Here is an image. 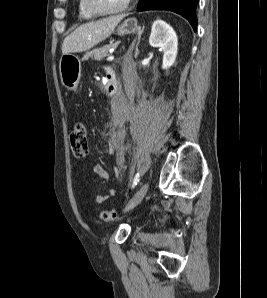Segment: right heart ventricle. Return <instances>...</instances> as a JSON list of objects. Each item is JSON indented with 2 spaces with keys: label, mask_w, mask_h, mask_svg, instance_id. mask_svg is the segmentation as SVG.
<instances>
[{
  "label": "right heart ventricle",
  "mask_w": 267,
  "mask_h": 298,
  "mask_svg": "<svg viewBox=\"0 0 267 298\" xmlns=\"http://www.w3.org/2000/svg\"><path fill=\"white\" fill-rule=\"evenodd\" d=\"M78 14L84 20H92L96 17L85 9L83 0H78Z\"/></svg>",
  "instance_id": "e07e8e85"
}]
</instances>
